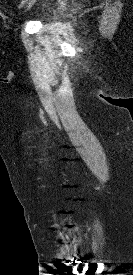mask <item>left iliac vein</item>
<instances>
[{
    "label": "left iliac vein",
    "mask_w": 133,
    "mask_h": 275,
    "mask_svg": "<svg viewBox=\"0 0 133 275\" xmlns=\"http://www.w3.org/2000/svg\"><path fill=\"white\" fill-rule=\"evenodd\" d=\"M34 2H35V0H30L29 1V6H31Z\"/></svg>",
    "instance_id": "left-iliac-vein-1"
}]
</instances>
